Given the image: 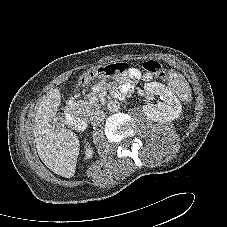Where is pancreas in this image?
Wrapping results in <instances>:
<instances>
[{
    "label": "pancreas",
    "mask_w": 227,
    "mask_h": 227,
    "mask_svg": "<svg viewBox=\"0 0 227 227\" xmlns=\"http://www.w3.org/2000/svg\"><path fill=\"white\" fill-rule=\"evenodd\" d=\"M76 106H77V109H79L80 111L86 114L90 113L93 109L97 107L96 104H93L88 101H80L77 103Z\"/></svg>",
    "instance_id": "cf45deb5"
}]
</instances>
